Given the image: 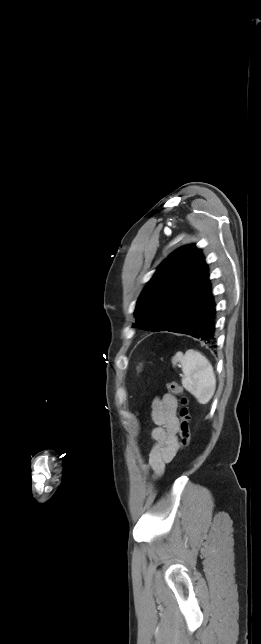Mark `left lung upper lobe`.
Here are the masks:
<instances>
[{
	"instance_id": "5c2ea615",
	"label": "left lung upper lobe",
	"mask_w": 261,
	"mask_h": 644,
	"mask_svg": "<svg viewBox=\"0 0 261 644\" xmlns=\"http://www.w3.org/2000/svg\"><path fill=\"white\" fill-rule=\"evenodd\" d=\"M212 291L208 266L195 245L179 248L164 260L143 289L133 327L168 331Z\"/></svg>"
}]
</instances>
